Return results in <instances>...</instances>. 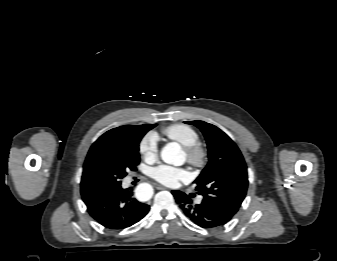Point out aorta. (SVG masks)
<instances>
[{
  "label": "aorta",
  "instance_id": "aorta-1",
  "mask_svg": "<svg viewBox=\"0 0 337 261\" xmlns=\"http://www.w3.org/2000/svg\"><path fill=\"white\" fill-rule=\"evenodd\" d=\"M162 160L174 166L183 165L185 162V155L181 146L176 142L166 144L161 150ZM136 197L141 201L149 200L153 195V189L148 183H141L135 189Z\"/></svg>",
  "mask_w": 337,
  "mask_h": 261
}]
</instances>
